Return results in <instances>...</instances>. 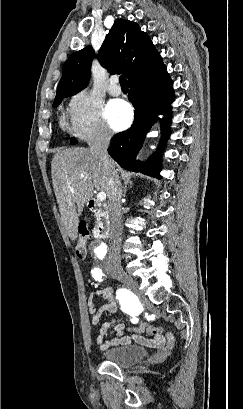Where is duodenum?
I'll return each mask as SVG.
<instances>
[{
	"mask_svg": "<svg viewBox=\"0 0 243 409\" xmlns=\"http://www.w3.org/2000/svg\"><path fill=\"white\" fill-rule=\"evenodd\" d=\"M88 207L98 217V222L95 227V233L102 237L107 238L110 234V221H109V207L107 204L101 203L94 199L88 201Z\"/></svg>",
	"mask_w": 243,
	"mask_h": 409,
	"instance_id": "410a0bca",
	"label": "duodenum"
}]
</instances>
